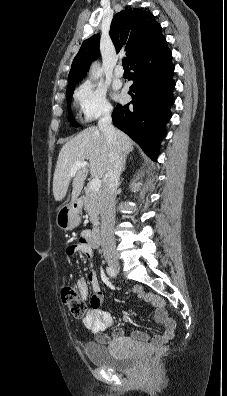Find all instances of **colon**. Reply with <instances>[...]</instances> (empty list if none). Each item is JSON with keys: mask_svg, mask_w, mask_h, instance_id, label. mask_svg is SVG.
<instances>
[{"mask_svg": "<svg viewBox=\"0 0 227 396\" xmlns=\"http://www.w3.org/2000/svg\"><path fill=\"white\" fill-rule=\"evenodd\" d=\"M62 301L69 308L75 317H84L87 307L83 299L79 296L78 290L71 285H64L61 289Z\"/></svg>", "mask_w": 227, "mask_h": 396, "instance_id": "colon-1", "label": "colon"}]
</instances>
